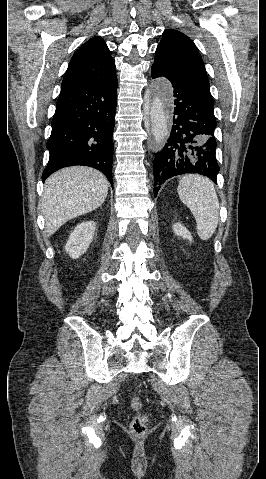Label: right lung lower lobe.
<instances>
[{"instance_id":"obj_1","label":"right lung lower lobe","mask_w":266,"mask_h":479,"mask_svg":"<svg viewBox=\"0 0 266 479\" xmlns=\"http://www.w3.org/2000/svg\"><path fill=\"white\" fill-rule=\"evenodd\" d=\"M116 105L117 76L61 89L46 144L50 157L43 181L63 167L85 165L100 170L112 185Z\"/></svg>"}]
</instances>
